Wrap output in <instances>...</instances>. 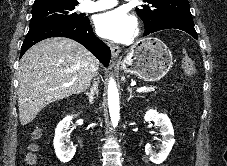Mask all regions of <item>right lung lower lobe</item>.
Listing matches in <instances>:
<instances>
[{"label":"right lung lower lobe","mask_w":227,"mask_h":166,"mask_svg":"<svg viewBox=\"0 0 227 166\" xmlns=\"http://www.w3.org/2000/svg\"><path fill=\"white\" fill-rule=\"evenodd\" d=\"M50 37L71 38L92 52L104 66H108L109 64L111 55L110 49L103 41L94 35L88 19L82 23L52 21L31 27L22 44L20 57L31 46Z\"/></svg>","instance_id":"obj_1"}]
</instances>
